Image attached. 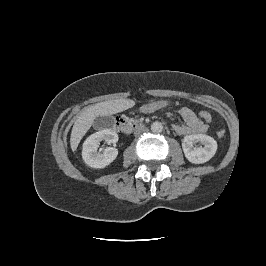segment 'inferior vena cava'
<instances>
[{"mask_svg":"<svg viewBox=\"0 0 266 266\" xmlns=\"http://www.w3.org/2000/svg\"><path fill=\"white\" fill-rule=\"evenodd\" d=\"M146 131H147L146 128H139V129H137V130L134 132V134H135V136H139V135H141L143 132H146Z\"/></svg>","mask_w":266,"mask_h":266,"instance_id":"1","label":"inferior vena cava"}]
</instances>
